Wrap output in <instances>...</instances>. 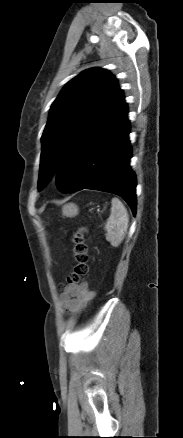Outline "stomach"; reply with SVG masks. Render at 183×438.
<instances>
[{"instance_id": "0dacf381", "label": "stomach", "mask_w": 183, "mask_h": 438, "mask_svg": "<svg viewBox=\"0 0 183 438\" xmlns=\"http://www.w3.org/2000/svg\"><path fill=\"white\" fill-rule=\"evenodd\" d=\"M63 215L73 217L78 214V207L73 203H68L62 208Z\"/></svg>"}]
</instances>
